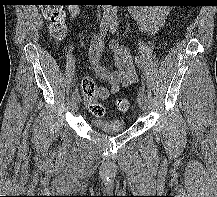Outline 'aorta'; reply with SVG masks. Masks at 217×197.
<instances>
[{"mask_svg": "<svg viewBox=\"0 0 217 197\" xmlns=\"http://www.w3.org/2000/svg\"><path fill=\"white\" fill-rule=\"evenodd\" d=\"M103 17L107 20H115L117 18V8L112 5H104Z\"/></svg>", "mask_w": 217, "mask_h": 197, "instance_id": "obj_1", "label": "aorta"}]
</instances>
